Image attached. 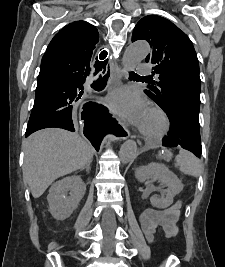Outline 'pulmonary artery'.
Returning <instances> with one entry per match:
<instances>
[{
    "label": "pulmonary artery",
    "instance_id": "e3ab8cb5",
    "mask_svg": "<svg viewBox=\"0 0 225 267\" xmlns=\"http://www.w3.org/2000/svg\"><path fill=\"white\" fill-rule=\"evenodd\" d=\"M140 75H149L151 74L150 67L147 64H141L138 69Z\"/></svg>",
    "mask_w": 225,
    "mask_h": 267
}]
</instances>
